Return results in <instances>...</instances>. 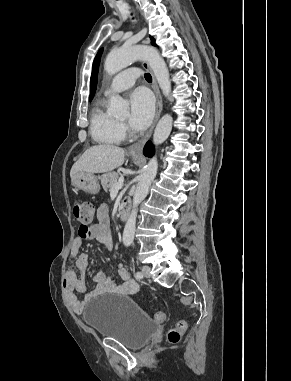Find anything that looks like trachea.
<instances>
[{"instance_id":"trachea-1","label":"trachea","mask_w":291,"mask_h":381,"mask_svg":"<svg viewBox=\"0 0 291 381\" xmlns=\"http://www.w3.org/2000/svg\"><path fill=\"white\" fill-rule=\"evenodd\" d=\"M144 77L147 82H152V77L149 73H145Z\"/></svg>"}]
</instances>
